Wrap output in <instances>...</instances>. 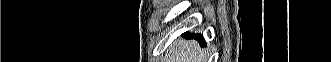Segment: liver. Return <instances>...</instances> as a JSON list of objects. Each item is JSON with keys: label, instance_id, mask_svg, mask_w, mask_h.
I'll use <instances>...</instances> for the list:
<instances>
[{"label": "liver", "instance_id": "liver-1", "mask_svg": "<svg viewBox=\"0 0 331 62\" xmlns=\"http://www.w3.org/2000/svg\"><path fill=\"white\" fill-rule=\"evenodd\" d=\"M170 62H204L196 42L176 41L170 49Z\"/></svg>", "mask_w": 331, "mask_h": 62}]
</instances>
